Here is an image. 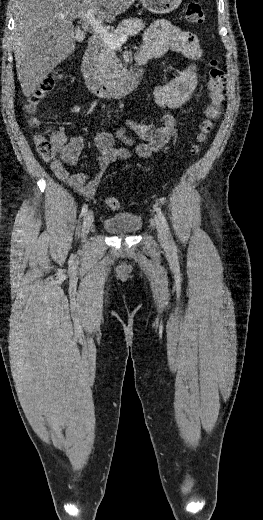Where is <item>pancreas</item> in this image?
Here are the masks:
<instances>
[{
    "label": "pancreas",
    "mask_w": 263,
    "mask_h": 520,
    "mask_svg": "<svg viewBox=\"0 0 263 520\" xmlns=\"http://www.w3.org/2000/svg\"><path fill=\"white\" fill-rule=\"evenodd\" d=\"M144 27L145 23L141 19H124L111 34L116 38L123 35L134 36ZM94 60L97 70L105 79L113 80L119 76L122 65L119 63L120 60L116 56V48H112L103 40H100V53L94 58Z\"/></svg>",
    "instance_id": "1"
}]
</instances>
